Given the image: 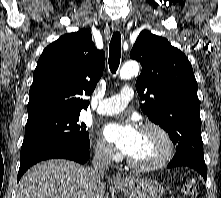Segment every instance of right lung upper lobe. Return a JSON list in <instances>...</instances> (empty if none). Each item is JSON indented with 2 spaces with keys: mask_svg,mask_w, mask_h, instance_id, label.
<instances>
[{
  "mask_svg": "<svg viewBox=\"0 0 221 198\" xmlns=\"http://www.w3.org/2000/svg\"><path fill=\"white\" fill-rule=\"evenodd\" d=\"M105 54L97 50L89 30L61 36L42 52L29 91L28 121L80 113L104 70Z\"/></svg>",
  "mask_w": 221,
  "mask_h": 198,
  "instance_id": "1",
  "label": "right lung upper lobe"
}]
</instances>
